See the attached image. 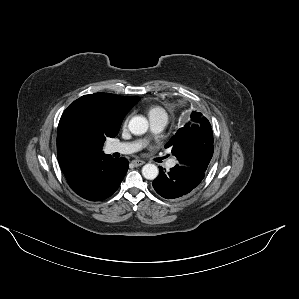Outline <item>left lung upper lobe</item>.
I'll use <instances>...</instances> for the list:
<instances>
[{
  "instance_id": "left-lung-upper-lobe-1",
  "label": "left lung upper lobe",
  "mask_w": 299,
  "mask_h": 299,
  "mask_svg": "<svg viewBox=\"0 0 299 299\" xmlns=\"http://www.w3.org/2000/svg\"><path fill=\"white\" fill-rule=\"evenodd\" d=\"M179 164L205 172L213 155V132L210 122L199 112L166 144Z\"/></svg>"
}]
</instances>
